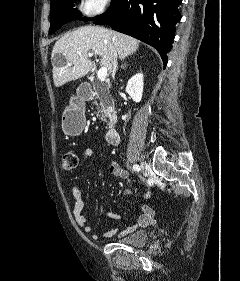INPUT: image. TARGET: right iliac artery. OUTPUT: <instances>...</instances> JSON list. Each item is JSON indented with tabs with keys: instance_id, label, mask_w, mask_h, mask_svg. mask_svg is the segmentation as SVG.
<instances>
[{
	"instance_id": "right-iliac-artery-1",
	"label": "right iliac artery",
	"mask_w": 240,
	"mask_h": 281,
	"mask_svg": "<svg viewBox=\"0 0 240 281\" xmlns=\"http://www.w3.org/2000/svg\"><path fill=\"white\" fill-rule=\"evenodd\" d=\"M132 168H133V170H135V171H140V170H141L140 166L137 165V164L133 165Z\"/></svg>"
}]
</instances>
